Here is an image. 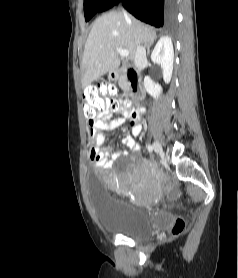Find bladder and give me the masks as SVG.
I'll return each mask as SVG.
<instances>
[{
	"label": "bladder",
	"mask_w": 238,
	"mask_h": 278,
	"mask_svg": "<svg viewBox=\"0 0 238 278\" xmlns=\"http://www.w3.org/2000/svg\"><path fill=\"white\" fill-rule=\"evenodd\" d=\"M88 180H97V175H88ZM96 218L108 233L120 234L134 239L145 240L159 231L167 229L172 223L168 212L151 213L143 207L122 204L120 199L106 195L101 181H88Z\"/></svg>",
	"instance_id": "bladder-1"
}]
</instances>
